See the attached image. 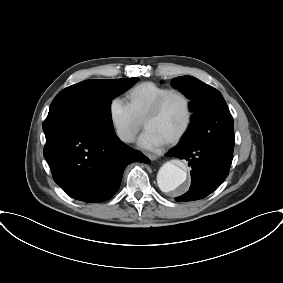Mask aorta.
Wrapping results in <instances>:
<instances>
[{
  "mask_svg": "<svg viewBox=\"0 0 283 283\" xmlns=\"http://www.w3.org/2000/svg\"><path fill=\"white\" fill-rule=\"evenodd\" d=\"M187 179V171L173 162L164 163L157 174V183L163 192H177Z\"/></svg>",
  "mask_w": 283,
  "mask_h": 283,
  "instance_id": "obj_1",
  "label": "aorta"
}]
</instances>
